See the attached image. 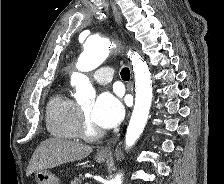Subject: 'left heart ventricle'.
<instances>
[{"mask_svg":"<svg viewBox=\"0 0 224 184\" xmlns=\"http://www.w3.org/2000/svg\"><path fill=\"white\" fill-rule=\"evenodd\" d=\"M91 105H88V106H84L83 107V110L84 112L89 116L90 115V111H91Z\"/></svg>","mask_w":224,"mask_h":184,"instance_id":"left-heart-ventricle-1","label":"left heart ventricle"}]
</instances>
